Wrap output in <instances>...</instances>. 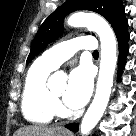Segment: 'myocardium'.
<instances>
[{"instance_id":"f54148a6","label":"myocardium","mask_w":136,"mask_h":136,"mask_svg":"<svg viewBox=\"0 0 136 136\" xmlns=\"http://www.w3.org/2000/svg\"><path fill=\"white\" fill-rule=\"evenodd\" d=\"M51 94H52L54 100H55V101H58L59 96L56 95L54 92H51Z\"/></svg>"}]
</instances>
